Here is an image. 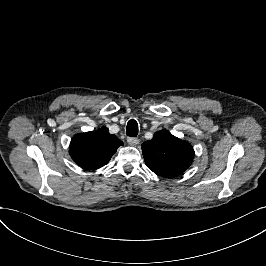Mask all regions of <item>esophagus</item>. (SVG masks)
Instances as JSON below:
<instances>
[{"instance_id": "obj_1", "label": "esophagus", "mask_w": 266, "mask_h": 266, "mask_svg": "<svg viewBox=\"0 0 266 266\" xmlns=\"http://www.w3.org/2000/svg\"><path fill=\"white\" fill-rule=\"evenodd\" d=\"M126 140H127V143L131 146L137 145L140 142V140L135 137H127Z\"/></svg>"}]
</instances>
